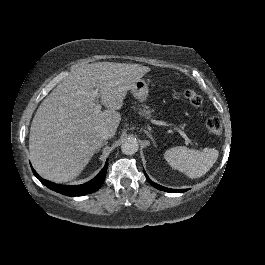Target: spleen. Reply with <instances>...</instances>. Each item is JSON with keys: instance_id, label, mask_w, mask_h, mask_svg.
<instances>
[{"instance_id": "spleen-1", "label": "spleen", "mask_w": 265, "mask_h": 265, "mask_svg": "<svg viewBox=\"0 0 265 265\" xmlns=\"http://www.w3.org/2000/svg\"><path fill=\"white\" fill-rule=\"evenodd\" d=\"M218 155L219 152L216 149L200 152L185 146H176L166 151L165 158L172 167L180 170L187 169L191 178H199L213 167Z\"/></svg>"}]
</instances>
